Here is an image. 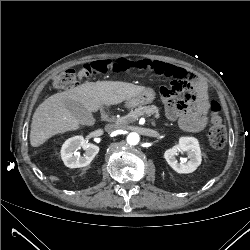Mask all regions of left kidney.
I'll return each instance as SVG.
<instances>
[{"label":"left kidney","mask_w":250,"mask_h":250,"mask_svg":"<svg viewBox=\"0 0 250 250\" xmlns=\"http://www.w3.org/2000/svg\"><path fill=\"white\" fill-rule=\"evenodd\" d=\"M178 152H186L189 160L180 158L178 161L176 158ZM164 158L177 173H192L202 160L199 142L194 137H181L178 145L165 151Z\"/></svg>","instance_id":"left-kidney-1"}]
</instances>
